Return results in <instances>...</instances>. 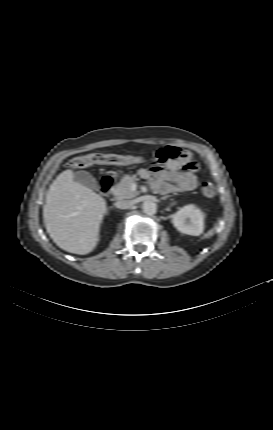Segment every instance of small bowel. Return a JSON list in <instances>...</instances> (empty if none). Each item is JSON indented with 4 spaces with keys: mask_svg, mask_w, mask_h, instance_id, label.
I'll list each match as a JSON object with an SVG mask.
<instances>
[{
    "mask_svg": "<svg viewBox=\"0 0 273 430\" xmlns=\"http://www.w3.org/2000/svg\"><path fill=\"white\" fill-rule=\"evenodd\" d=\"M155 160L158 164L150 169L141 168L138 173L142 178L149 179L156 191L162 194L187 192L197 186L198 164L188 151L174 147L161 148L155 152Z\"/></svg>",
    "mask_w": 273,
    "mask_h": 430,
    "instance_id": "small-bowel-1",
    "label": "small bowel"
}]
</instances>
